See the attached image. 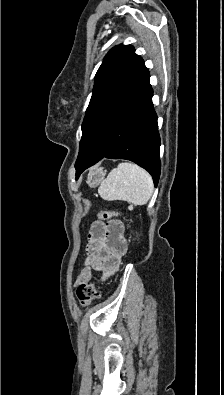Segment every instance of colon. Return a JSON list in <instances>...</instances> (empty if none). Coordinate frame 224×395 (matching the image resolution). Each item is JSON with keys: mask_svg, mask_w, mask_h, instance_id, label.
I'll return each instance as SVG.
<instances>
[{"mask_svg": "<svg viewBox=\"0 0 224 395\" xmlns=\"http://www.w3.org/2000/svg\"><path fill=\"white\" fill-rule=\"evenodd\" d=\"M98 217L104 221L112 222L117 220L118 214L106 210L98 213ZM111 230L115 233L118 231L117 225H111ZM78 300L81 305L88 306L98 297V288L95 281H88L79 284L76 291Z\"/></svg>", "mask_w": 224, "mask_h": 395, "instance_id": "1", "label": "colon"}]
</instances>
